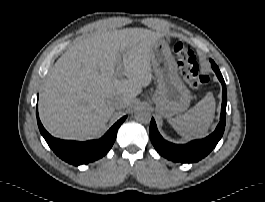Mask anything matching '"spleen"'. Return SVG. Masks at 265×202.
<instances>
[{
    "label": "spleen",
    "instance_id": "3e777b00",
    "mask_svg": "<svg viewBox=\"0 0 265 202\" xmlns=\"http://www.w3.org/2000/svg\"><path fill=\"white\" fill-rule=\"evenodd\" d=\"M215 100L211 93L183 115L168 119L178 134L185 138H202L214 119Z\"/></svg>",
    "mask_w": 265,
    "mask_h": 202
}]
</instances>
